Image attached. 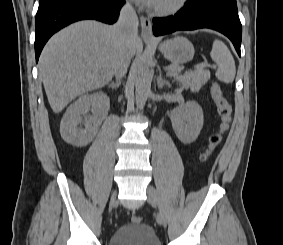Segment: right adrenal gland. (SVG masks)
<instances>
[{
    "mask_svg": "<svg viewBox=\"0 0 283 245\" xmlns=\"http://www.w3.org/2000/svg\"><path fill=\"white\" fill-rule=\"evenodd\" d=\"M120 84H121V81L120 80H118L117 82H112V83H110L109 85H108V87L109 88H111V89H117L119 86H120Z\"/></svg>",
    "mask_w": 283,
    "mask_h": 245,
    "instance_id": "1",
    "label": "right adrenal gland"
}]
</instances>
